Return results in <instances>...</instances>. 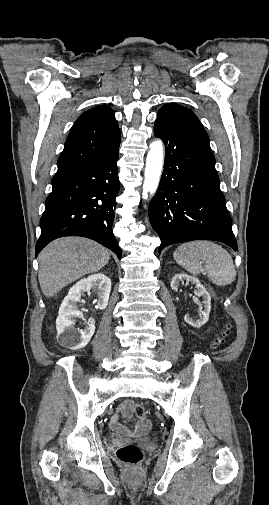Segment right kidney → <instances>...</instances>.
Returning a JSON list of instances; mask_svg holds the SVG:
<instances>
[{
  "mask_svg": "<svg viewBox=\"0 0 269 505\" xmlns=\"http://www.w3.org/2000/svg\"><path fill=\"white\" fill-rule=\"evenodd\" d=\"M90 290L98 295L96 307L105 309L109 300L111 280L103 273L93 274L78 281L69 290L59 309L56 319L57 337L63 346L72 350L85 347L95 332V321L92 318L88 320L84 329L75 328L76 318L83 317V313L77 308V302Z\"/></svg>",
  "mask_w": 269,
  "mask_h": 505,
  "instance_id": "right-kidney-1",
  "label": "right kidney"
}]
</instances>
